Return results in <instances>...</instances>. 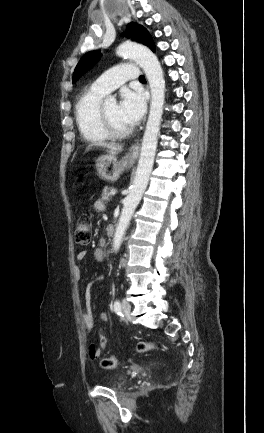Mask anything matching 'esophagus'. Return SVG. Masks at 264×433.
<instances>
[{
  "instance_id": "1",
  "label": "esophagus",
  "mask_w": 264,
  "mask_h": 433,
  "mask_svg": "<svg viewBox=\"0 0 264 433\" xmlns=\"http://www.w3.org/2000/svg\"><path fill=\"white\" fill-rule=\"evenodd\" d=\"M139 151H140V143L136 142L130 147L129 152L127 154V159L135 160L139 155Z\"/></svg>"
}]
</instances>
